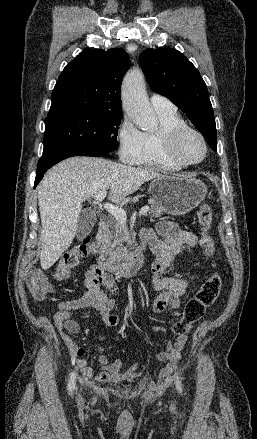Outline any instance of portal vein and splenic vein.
I'll use <instances>...</instances> for the list:
<instances>
[{
    "label": "portal vein and splenic vein",
    "instance_id": "18ae733b",
    "mask_svg": "<svg viewBox=\"0 0 257 439\" xmlns=\"http://www.w3.org/2000/svg\"><path fill=\"white\" fill-rule=\"evenodd\" d=\"M106 195H107V191L103 190V191H100L99 193H97L94 196V199H95V201L100 202L106 197ZM104 208L110 214H112L118 222L126 223V220H127L126 213L122 208L115 206L113 204H110V203L104 204ZM148 211H149V206L146 205L140 209L139 214L144 215V214H147Z\"/></svg>",
    "mask_w": 257,
    "mask_h": 439
}]
</instances>
